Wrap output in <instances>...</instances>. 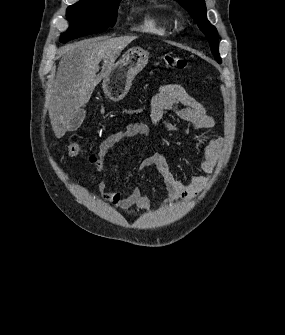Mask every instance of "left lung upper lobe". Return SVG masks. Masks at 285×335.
<instances>
[{
    "mask_svg": "<svg viewBox=\"0 0 285 335\" xmlns=\"http://www.w3.org/2000/svg\"><path fill=\"white\" fill-rule=\"evenodd\" d=\"M190 13L191 17L197 23L198 27L205 34L211 47V51L217 60L221 63L219 55L218 33L216 28L209 23L206 17V6L204 0H176Z\"/></svg>",
    "mask_w": 285,
    "mask_h": 335,
    "instance_id": "obj_1",
    "label": "left lung upper lobe"
}]
</instances>
